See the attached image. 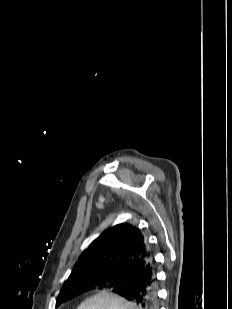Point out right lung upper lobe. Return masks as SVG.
Instances as JSON below:
<instances>
[{"label": "right lung upper lobe", "instance_id": "1", "mask_svg": "<svg viewBox=\"0 0 232 309\" xmlns=\"http://www.w3.org/2000/svg\"><path fill=\"white\" fill-rule=\"evenodd\" d=\"M151 257L137 227L129 223L117 224L105 230L82 252L67 281L89 271L123 274L130 264L140 268Z\"/></svg>", "mask_w": 232, "mask_h": 309}]
</instances>
